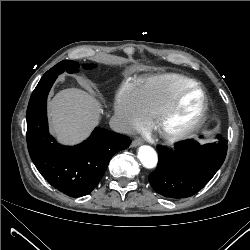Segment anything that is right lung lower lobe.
<instances>
[{"mask_svg":"<svg viewBox=\"0 0 250 250\" xmlns=\"http://www.w3.org/2000/svg\"><path fill=\"white\" fill-rule=\"evenodd\" d=\"M57 76L41 78L27 108V146L41 175L71 197L89 194L99 183L112 156L130 145L127 136L95 128L76 146H63L48 132L47 95Z\"/></svg>","mask_w":250,"mask_h":250,"instance_id":"98d812e1","label":"right lung lower lobe"}]
</instances>
